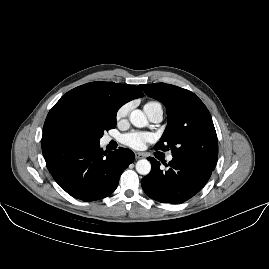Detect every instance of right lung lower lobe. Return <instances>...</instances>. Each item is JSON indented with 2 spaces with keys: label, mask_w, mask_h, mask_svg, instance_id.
<instances>
[{
  "label": "right lung lower lobe",
  "mask_w": 269,
  "mask_h": 269,
  "mask_svg": "<svg viewBox=\"0 0 269 269\" xmlns=\"http://www.w3.org/2000/svg\"><path fill=\"white\" fill-rule=\"evenodd\" d=\"M42 152L55 181L68 194L83 201L109 196L135 157L126 148L106 154L99 143L81 144L56 133L43 137Z\"/></svg>",
  "instance_id": "right-lung-lower-lobe-1"
}]
</instances>
